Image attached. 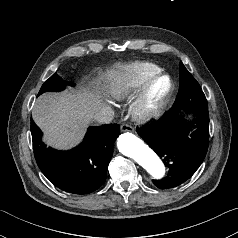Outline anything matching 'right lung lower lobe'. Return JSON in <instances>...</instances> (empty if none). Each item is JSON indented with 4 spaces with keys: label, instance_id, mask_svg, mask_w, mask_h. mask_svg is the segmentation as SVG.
Wrapping results in <instances>:
<instances>
[{
    "label": "right lung lower lobe",
    "instance_id": "98d812e1",
    "mask_svg": "<svg viewBox=\"0 0 238 238\" xmlns=\"http://www.w3.org/2000/svg\"><path fill=\"white\" fill-rule=\"evenodd\" d=\"M119 133L118 124L90 127L82 146L70 154L46 148L40 140L41 130L31 123L34 155L40 170L53 185L73 194L91 193L104 184Z\"/></svg>",
    "mask_w": 238,
    "mask_h": 238
}]
</instances>
